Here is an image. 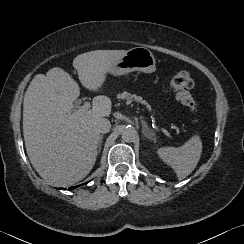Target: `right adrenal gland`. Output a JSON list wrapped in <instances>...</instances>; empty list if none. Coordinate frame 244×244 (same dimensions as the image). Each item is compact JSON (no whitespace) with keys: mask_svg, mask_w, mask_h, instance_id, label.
Listing matches in <instances>:
<instances>
[{"mask_svg":"<svg viewBox=\"0 0 244 244\" xmlns=\"http://www.w3.org/2000/svg\"><path fill=\"white\" fill-rule=\"evenodd\" d=\"M102 139H103V135H100L99 143H98V152L99 153L101 152Z\"/></svg>","mask_w":244,"mask_h":244,"instance_id":"right-adrenal-gland-1","label":"right adrenal gland"}]
</instances>
